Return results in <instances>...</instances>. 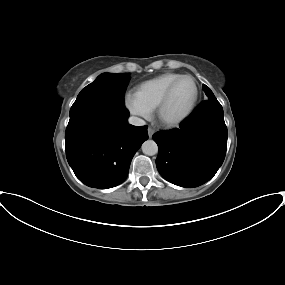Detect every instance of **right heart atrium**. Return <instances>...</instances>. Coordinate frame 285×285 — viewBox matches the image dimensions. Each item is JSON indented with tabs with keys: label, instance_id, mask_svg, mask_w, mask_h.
I'll return each instance as SVG.
<instances>
[{
	"label": "right heart atrium",
	"instance_id": "obj_1",
	"mask_svg": "<svg viewBox=\"0 0 285 285\" xmlns=\"http://www.w3.org/2000/svg\"><path fill=\"white\" fill-rule=\"evenodd\" d=\"M125 107L127 108V110L135 115V116H139L142 118H148L150 116V111L147 110L146 108H144L143 106H141L136 99L134 98V96L131 95H127L125 98Z\"/></svg>",
	"mask_w": 285,
	"mask_h": 285
}]
</instances>
